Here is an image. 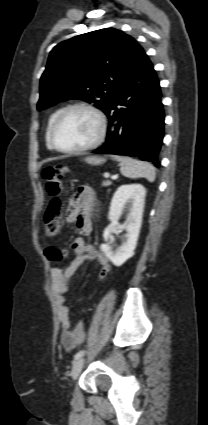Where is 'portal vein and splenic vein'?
Returning <instances> with one entry per match:
<instances>
[{"label": "portal vein and splenic vein", "instance_id": "1", "mask_svg": "<svg viewBox=\"0 0 208 425\" xmlns=\"http://www.w3.org/2000/svg\"><path fill=\"white\" fill-rule=\"evenodd\" d=\"M109 176H110L109 173H104L105 178H109ZM113 179H115V177H113Z\"/></svg>", "mask_w": 208, "mask_h": 425}]
</instances>
